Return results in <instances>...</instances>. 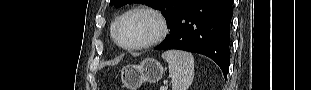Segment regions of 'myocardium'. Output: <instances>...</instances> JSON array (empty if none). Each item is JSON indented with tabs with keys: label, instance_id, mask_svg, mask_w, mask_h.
I'll use <instances>...</instances> for the list:
<instances>
[{
	"label": "myocardium",
	"instance_id": "obj_1",
	"mask_svg": "<svg viewBox=\"0 0 311 90\" xmlns=\"http://www.w3.org/2000/svg\"><path fill=\"white\" fill-rule=\"evenodd\" d=\"M138 13L149 15L155 20V22L157 24L156 32L154 33V35L150 39H148L145 42L138 43V44H130V45L122 44L119 41L118 34H117L118 27H119L120 23L127 16L132 15V14H138ZM167 32H168V25H167V21L164 18V16L159 11H157L153 8H149V7H135V8L127 10L126 12L121 14L116 19V21L112 27V37H113L114 42L120 48H122L124 50H128V51H137V50H143V49L150 48V47L158 44L161 40H163L164 37L166 36Z\"/></svg>",
	"mask_w": 311,
	"mask_h": 90
}]
</instances>
